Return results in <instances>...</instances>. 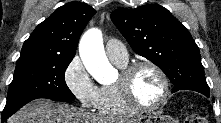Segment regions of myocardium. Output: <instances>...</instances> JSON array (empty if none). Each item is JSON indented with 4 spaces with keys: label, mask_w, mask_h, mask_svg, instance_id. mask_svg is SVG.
I'll list each match as a JSON object with an SVG mask.
<instances>
[{
    "label": "myocardium",
    "mask_w": 221,
    "mask_h": 123,
    "mask_svg": "<svg viewBox=\"0 0 221 123\" xmlns=\"http://www.w3.org/2000/svg\"><path fill=\"white\" fill-rule=\"evenodd\" d=\"M142 68H151L159 75L162 81V96L160 100L152 106H144L140 104L132 92L131 85L133 76ZM116 86L125 104L135 112H153L162 108L166 104L170 94V82L167 74L160 66L151 61L137 62L123 68Z\"/></svg>",
    "instance_id": "obj_1"
}]
</instances>
